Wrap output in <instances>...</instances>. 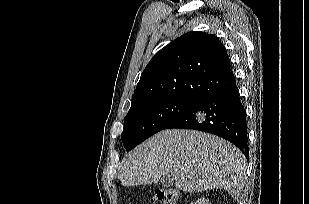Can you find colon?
<instances>
[{
  "instance_id": "obj_1",
  "label": "colon",
  "mask_w": 309,
  "mask_h": 204,
  "mask_svg": "<svg viewBox=\"0 0 309 204\" xmlns=\"http://www.w3.org/2000/svg\"><path fill=\"white\" fill-rule=\"evenodd\" d=\"M179 193L168 187H161L155 191L154 201L160 204H177Z\"/></svg>"
}]
</instances>
